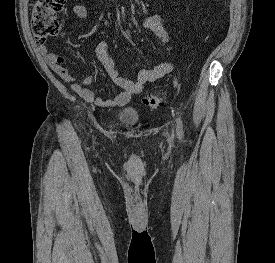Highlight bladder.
I'll return each mask as SVG.
<instances>
[{
    "instance_id": "bladder-1",
    "label": "bladder",
    "mask_w": 275,
    "mask_h": 263,
    "mask_svg": "<svg viewBox=\"0 0 275 263\" xmlns=\"http://www.w3.org/2000/svg\"><path fill=\"white\" fill-rule=\"evenodd\" d=\"M118 119L126 125H135L140 120V113L133 107H125L118 112Z\"/></svg>"
}]
</instances>
